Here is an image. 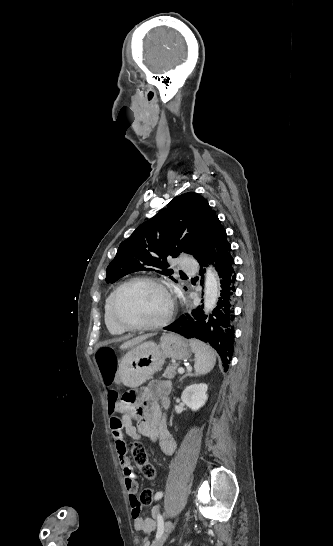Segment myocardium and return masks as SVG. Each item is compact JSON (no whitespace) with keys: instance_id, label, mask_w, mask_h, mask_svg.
Listing matches in <instances>:
<instances>
[{"instance_id":"myocardium-1","label":"myocardium","mask_w":333,"mask_h":546,"mask_svg":"<svg viewBox=\"0 0 333 546\" xmlns=\"http://www.w3.org/2000/svg\"><path fill=\"white\" fill-rule=\"evenodd\" d=\"M139 282L156 285L160 287L167 295L169 300V309L166 315L161 320L152 322V323L131 324L124 321L119 316L117 311V305H118V300H119V296L121 292L127 286L134 283H139ZM175 311H176V301L171 290L169 289V287L163 280L153 276H135L124 281L114 290L112 300H111V316L114 322L116 323V325H118L120 328H122L125 331H149V330H156L159 328H163L172 321Z\"/></svg>"}]
</instances>
